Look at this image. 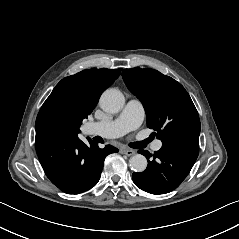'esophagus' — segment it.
Masks as SVG:
<instances>
[{
  "label": "esophagus",
  "mask_w": 239,
  "mask_h": 239,
  "mask_svg": "<svg viewBox=\"0 0 239 239\" xmlns=\"http://www.w3.org/2000/svg\"><path fill=\"white\" fill-rule=\"evenodd\" d=\"M122 154H125L127 156H133L136 152L134 150L131 149H124L121 151Z\"/></svg>",
  "instance_id": "esophagus-1"
}]
</instances>
